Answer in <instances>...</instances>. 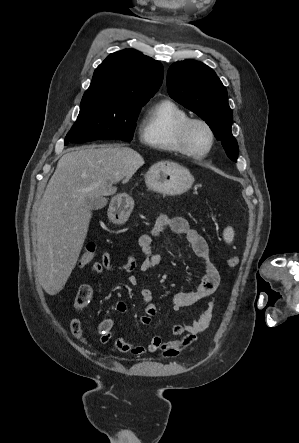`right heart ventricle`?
<instances>
[{
	"label": "right heart ventricle",
	"mask_w": 299,
	"mask_h": 443,
	"mask_svg": "<svg viewBox=\"0 0 299 443\" xmlns=\"http://www.w3.org/2000/svg\"><path fill=\"white\" fill-rule=\"evenodd\" d=\"M189 118V114L174 101L160 100L146 113L141 128V141L155 150L184 154L178 143V132Z\"/></svg>",
	"instance_id": "e07e8e85"
}]
</instances>
